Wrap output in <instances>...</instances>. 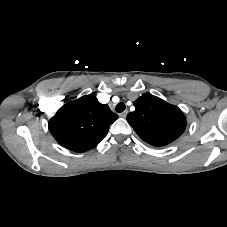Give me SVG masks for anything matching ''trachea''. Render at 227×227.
Masks as SVG:
<instances>
[{"mask_svg": "<svg viewBox=\"0 0 227 227\" xmlns=\"http://www.w3.org/2000/svg\"><path fill=\"white\" fill-rule=\"evenodd\" d=\"M125 110V104L123 102H120L116 106V112L121 113Z\"/></svg>", "mask_w": 227, "mask_h": 227, "instance_id": "3493384b", "label": "trachea"}]
</instances>
